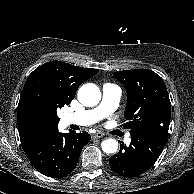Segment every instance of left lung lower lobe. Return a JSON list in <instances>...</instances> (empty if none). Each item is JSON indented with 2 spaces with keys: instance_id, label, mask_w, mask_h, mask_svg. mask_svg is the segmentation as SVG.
<instances>
[{
  "instance_id": "0a47b994",
  "label": "left lung lower lobe",
  "mask_w": 194,
  "mask_h": 194,
  "mask_svg": "<svg viewBox=\"0 0 194 194\" xmlns=\"http://www.w3.org/2000/svg\"><path fill=\"white\" fill-rule=\"evenodd\" d=\"M131 144L109 158L111 169L120 176L133 178L150 169L160 156L168 133L136 129L130 132Z\"/></svg>"
}]
</instances>
